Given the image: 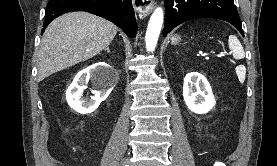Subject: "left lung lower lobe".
Masks as SVG:
<instances>
[{"instance_id": "0a47b994", "label": "left lung lower lobe", "mask_w": 277, "mask_h": 166, "mask_svg": "<svg viewBox=\"0 0 277 166\" xmlns=\"http://www.w3.org/2000/svg\"><path fill=\"white\" fill-rule=\"evenodd\" d=\"M198 18H215L227 21L244 36L234 0H165L163 36L176 26Z\"/></svg>"}]
</instances>
